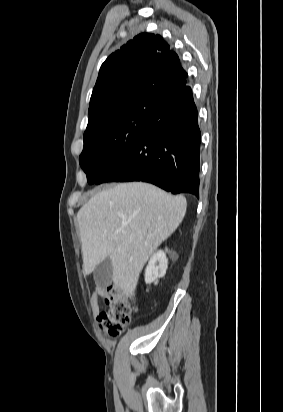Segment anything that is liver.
Returning a JSON list of instances; mask_svg holds the SVG:
<instances>
[{
  "mask_svg": "<svg viewBox=\"0 0 283 412\" xmlns=\"http://www.w3.org/2000/svg\"><path fill=\"white\" fill-rule=\"evenodd\" d=\"M186 208L185 197L147 183L98 192L77 213L84 274L109 257L114 284L133 297L145 263L181 224Z\"/></svg>",
  "mask_w": 283,
  "mask_h": 412,
  "instance_id": "6515ba94",
  "label": "liver"
}]
</instances>
